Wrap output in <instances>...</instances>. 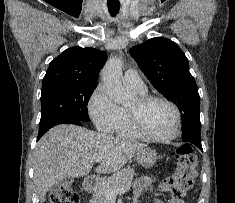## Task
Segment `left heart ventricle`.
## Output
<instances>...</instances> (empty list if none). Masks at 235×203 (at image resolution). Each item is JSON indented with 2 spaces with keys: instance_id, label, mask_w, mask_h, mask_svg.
I'll list each match as a JSON object with an SVG mask.
<instances>
[{
  "instance_id": "1",
  "label": "left heart ventricle",
  "mask_w": 235,
  "mask_h": 203,
  "mask_svg": "<svg viewBox=\"0 0 235 203\" xmlns=\"http://www.w3.org/2000/svg\"><path fill=\"white\" fill-rule=\"evenodd\" d=\"M137 100L134 99L128 108H136ZM140 119L144 129L159 137L172 134L175 129V114L166 103L152 102L140 109Z\"/></svg>"
}]
</instances>
